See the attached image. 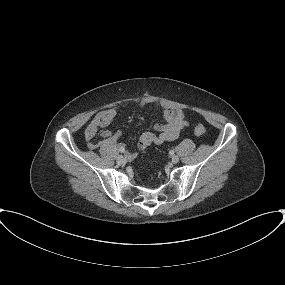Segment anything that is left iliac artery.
Segmentation results:
<instances>
[{
	"instance_id": "obj_1",
	"label": "left iliac artery",
	"mask_w": 285,
	"mask_h": 285,
	"mask_svg": "<svg viewBox=\"0 0 285 285\" xmlns=\"http://www.w3.org/2000/svg\"><path fill=\"white\" fill-rule=\"evenodd\" d=\"M170 154H171V155H173V154H174V151H173V150H171V151H170Z\"/></svg>"
}]
</instances>
